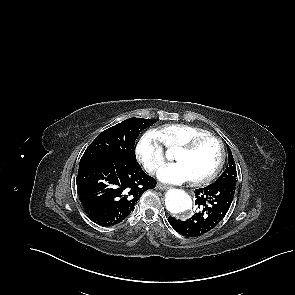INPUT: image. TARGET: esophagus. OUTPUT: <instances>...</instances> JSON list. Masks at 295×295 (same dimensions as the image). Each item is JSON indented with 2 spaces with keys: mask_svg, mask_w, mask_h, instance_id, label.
Instances as JSON below:
<instances>
[{
  "mask_svg": "<svg viewBox=\"0 0 295 295\" xmlns=\"http://www.w3.org/2000/svg\"><path fill=\"white\" fill-rule=\"evenodd\" d=\"M159 190H165L167 188V186L163 185V184H157L156 186Z\"/></svg>",
  "mask_w": 295,
  "mask_h": 295,
  "instance_id": "esophagus-1",
  "label": "esophagus"
}]
</instances>
